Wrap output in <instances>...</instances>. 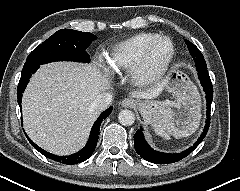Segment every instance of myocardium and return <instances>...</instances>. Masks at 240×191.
<instances>
[{"label":"myocardium","mask_w":240,"mask_h":191,"mask_svg":"<svg viewBox=\"0 0 240 191\" xmlns=\"http://www.w3.org/2000/svg\"><path fill=\"white\" fill-rule=\"evenodd\" d=\"M162 41L170 44L171 50L166 60L156 69H149V62L154 48ZM174 42L168 36L159 35L152 40L143 51L138 61L129 70V77L136 85H149L158 82L167 72L175 57Z\"/></svg>","instance_id":"myocardium-1"}]
</instances>
